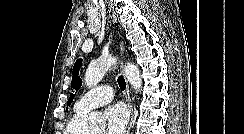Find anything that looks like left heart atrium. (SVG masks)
Segmentation results:
<instances>
[{
  "label": "left heart atrium",
  "mask_w": 244,
  "mask_h": 134,
  "mask_svg": "<svg viewBox=\"0 0 244 134\" xmlns=\"http://www.w3.org/2000/svg\"><path fill=\"white\" fill-rule=\"evenodd\" d=\"M106 130L104 134H124L128 123V112L121 104L108 107L105 111Z\"/></svg>",
  "instance_id": "39dd6f15"
}]
</instances>
